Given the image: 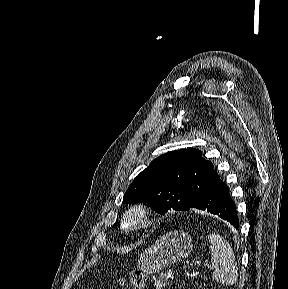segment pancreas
Wrapping results in <instances>:
<instances>
[{
	"instance_id": "pancreas-1",
	"label": "pancreas",
	"mask_w": 288,
	"mask_h": 289,
	"mask_svg": "<svg viewBox=\"0 0 288 289\" xmlns=\"http://www.w3.org/2000/svg\"><path fill=\"white\" fill-rule=\"evenodd\" d=\"M169 273H173L172 270L162 272L157 279L154 280V285L156 289H161L166 286L169 280Z\"/></svg>"
}]
</instances>
